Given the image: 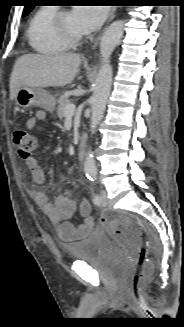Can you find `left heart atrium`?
<instances>
[{
    "mask_svg": "<svg viewBox=\"0 0 184 327\" xmlns=\"http://www.w3.org/2000/svg\"><path fill=\"white\" fill-rule=\"evenodd\" d=\"M80 30L89 33L98 29L105 20L106 9L96 5H83L72 11Z\"/></svg>",
    "mask_w": 184,
    "mask_h": 327,
    "instance_id": "obj_1",
    "label": "left heart atrium"
}]
</instances>
